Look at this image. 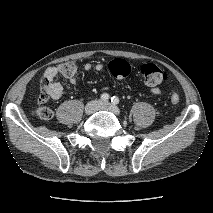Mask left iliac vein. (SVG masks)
Listing matches in <instances>:
<instances>
[{"mask_svg": "<svg viewBox=\"0 0 213 213\" xmlns=\"http://www.w3.org/2000/svg\"><path fill=\"white\" fill-rule=\"evenodd\" d=\"M100 110H107V111H110L116 115H119L120 114V110L117 106L109 103V102H104V103H101L100 105Z\"/></svg>", "mask_w": 213, "mask_h": 213, "instance_id": "obj_1", "label": "left iliac vein"}]
</instances>
